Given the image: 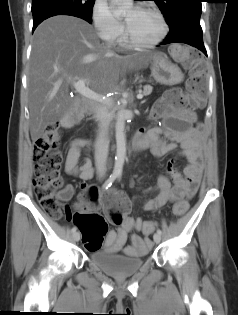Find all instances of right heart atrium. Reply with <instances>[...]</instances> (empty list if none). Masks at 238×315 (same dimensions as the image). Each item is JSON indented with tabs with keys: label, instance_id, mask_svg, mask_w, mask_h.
I'll return each mask as SVG.
<instances>
[{
	"label": "right heart atrium",
	"instance_id": "right-heart-atrium-1",
	"mask_svg": "<svg viewBox=\"0 0 238 315\" xmlns=\"http://www.w3.org/2000/svg\"><path fill=\"white\" fill-rule=\"evenodd\" d=\"M91 17L98 36L105 42L113 43L122 35L124 25L105 0L94 1Z\"/></svg>",
	"mask_w": 238,
	"mask_h": 315
}]
</instances>
